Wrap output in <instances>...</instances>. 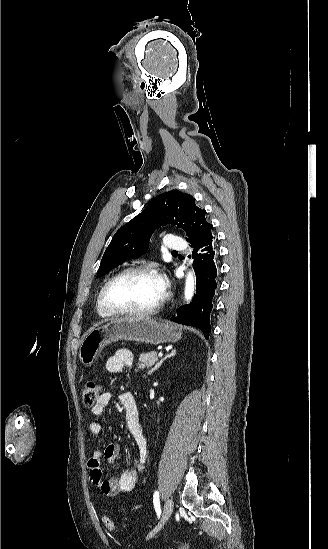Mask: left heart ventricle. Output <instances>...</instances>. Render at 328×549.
<instances>
[{
    "instance_id": "left-heart-ventricle-1",
    "label": "left heart ventricle",
    "mask_w": 328,
    "mask_h": 549,
    "mask_svg": "<svg viewBox=\"0 0 328 549\" xmlns=\"http://www.w3.org/2000/svg\"><path fill=\"white\" fill-rule=\"evenodd\" d=\"M162 293L159 276L135 271L124 275L111 286L108 300L116 310L144 309L152 306Z\"/></svg>"
}]
</instances>
